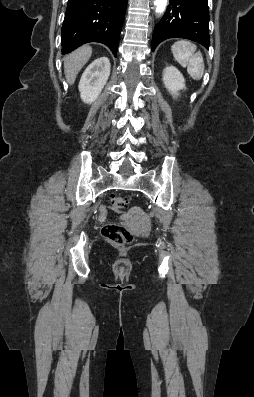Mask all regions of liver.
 <instances>
[{
	"instance_id": "obj_1",
	"label": "liver",
	"mask_w": 254,
	"mask_h": 397,
	"mask_svg": "<svg viewBox=\"0 0 254 397\" xmlns=\"http://www.w3.org/2000/svg\"><path fill=\"white\" fill-rule=\"evenodd\" d=\"M92 55V47L84 45L64 58V73L67 82L73 85L76 76Z\"/></svg>"
}]
</instances>
